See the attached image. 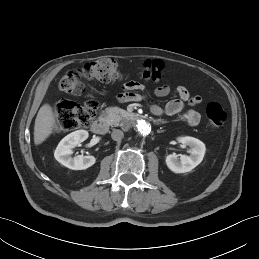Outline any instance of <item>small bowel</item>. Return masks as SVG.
<instances>
[{"mask_svg":"<svg viewBox=\"0 0 259 259\" xmlns=\"http://www.w3.org/2000/svg\"><path fill=\"white\" fill-rule=\"evenodd\" d=\"M142 86L134 81H129L124 84L122 91L118 94L117 99L120 102L141 101L144 95L140 92ZM170 92L169 86H159L155 89V95L158 97L167 96ZM178 98L172 99L162 108L159 105L151 104L150 112L155 116H161L163 113L174 116L180 115L181 119L190 126H196L201 120L199 112L193 107L199 104L202 99L200 96L192 97L184 86H178L175 89ZM186 105L190 106L186 108Z\"/></svg>","mask_w":259,"mask_h":259,"instance_id":"small-bowel-1","label":"small bowel"}]
</instances>
